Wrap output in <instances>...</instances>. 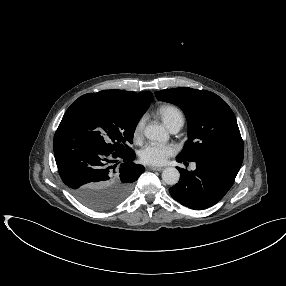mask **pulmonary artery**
Segmentation results:
<instances>
[{
    "label": "pulmonary artery",
    "mask_w": 286,
    "mask_h": 286,
    "mask_svg": "<svg viewBox=\"0 0 286 286\" xmlns=\"http://www.w3.org/2000/svg\"><path fill=\"white\" fill-rule=\"evenodd\" d=\"M183 126V121H178L174 124H172L169 129L171 132L175 133L178 132L180 130V128ZM192 168H195V164L192 165Z\"/></svg>",
    "instance_id": "obj_1"
}]
</instances>
